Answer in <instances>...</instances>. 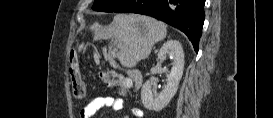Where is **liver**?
<instances>
[{"label": "liver", "mask_w": 273, "mask_h": 118, "mask_svg": "<svg viewBox=\"0 0 273 118\" xmlns=\"http://www.w3.org/2000/svg\"><path fill=\"white\" fill-rule=\"evenodd\" d=\"M90 29L94 32V40L112 39L121 46L116 58L128 68L147 58L154 44L167 35L163 22L139 14H118L110 25L94 23Z\"/></svg>", "instance_id": "liver-1"}]
</instances>
